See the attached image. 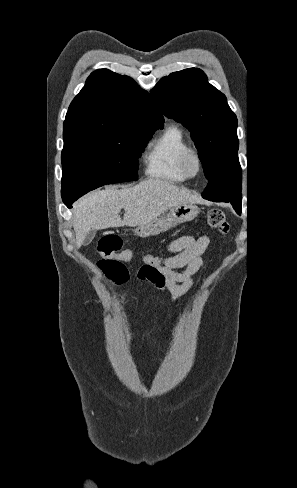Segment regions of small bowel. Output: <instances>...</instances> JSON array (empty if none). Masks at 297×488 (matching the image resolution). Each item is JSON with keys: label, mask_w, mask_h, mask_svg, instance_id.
I'll list each match as a JSON object with an SVG mask.
<instances>
[{"label": "small bowel", "mask_w": 297, "mask_h": 488, "mask_svg": "<svg viewBox=\"0 0 297 488\" xmlns=\"http://www.w3.org/2000/svg\"><path fill=\"white\" fill-rule=\"evenodd\" d=\"M211 239L201 232L184 235L167 245L170 256L164 257L163 266L151 273L145 280L161 292L170 293V306L179 304L180 296L196 284L195 274L206 269L203 255ZM131 262L133 259H124Z\"/></svg>", "instance_id": "obj_1"}]
</instances>
